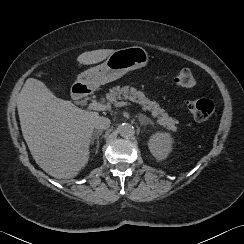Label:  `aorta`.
I'll list each match as a JSON object with an SVG mask.
<instances>
[{"label": "aorta", "mask_w": 244, "mask_h": 244, "mask_svg": "<svg viewBox=\"0 0 244 244\" xmlns=\"http://www.w3.org/2000/svg\"><path fill=\"white\" fill-rule=\"evenodd\" d=\"M118 130H119L120 135L124 138H129V137L133 136L135 133L134 127L129 123H124V124L120 125Z\"/></svg>", "instance_id": "1"}]
</instances>
